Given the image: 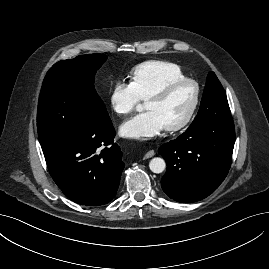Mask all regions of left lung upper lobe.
Instances as JSON below:
<instances>
[{"mask_svg":"<svg viewBox=\"0 0 269 269\" xmlns=\"http://www.w3.org/2000/svg\"><path fill=\"white\" fill-rule=\"evenodd\" d=\"M230 116L231 112L225 91L215 73L210 72L207 76L200 109L192 124Z\"/></svg>","mask_w":269,"mask_h":269,"instance_id":"left-lung-upper-lobe-1","label":"left lung upper lobe"}]
</instances>
